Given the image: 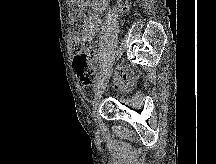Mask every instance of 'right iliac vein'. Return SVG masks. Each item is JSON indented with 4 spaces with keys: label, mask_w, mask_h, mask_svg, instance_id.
Returning a JSON list of instances; mask_svg holds the SVG:
<instances>
[{
    "label": "right iliac vein",
    "mask_w": 216,
    "mask_h": 164,
    "mask_svg": "<svg viewBox=\"0 0 216 164\" xmlns=\"http://www.w3.org/2000/svg\"><path fill=\"white\" fill-rule=\"evenodd\" d=\"M110 76L111 74H107L104 76V80L100 82V85L99 87L97 88L96 92H95V95H94V98H93V101H92V105H93V115L95 116L96 114V109H97V106L101 100V97H102V94L107 86V83L110 79Z\"/></svg>",
    "instance_id": "right-iliac-vein-1"
}]
</instances>
